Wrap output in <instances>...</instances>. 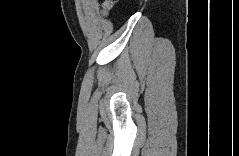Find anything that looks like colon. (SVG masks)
I'll list each match as a JSON object with an SVG mask.
<instances>
[{"mask_svg": "<svg viewBox=\"0 0 239 156\" xmlns=\"http://www.w3.org/2000/svg\"><path fill=\"white\" fill-rule=\"evenodd\" d=\"M110 7H111V2L110 1L106 2L104 5V9L107 11L110 9Z\"/></svg>", "mask_w": 239, "mask_h": 156, "instance_id": "5ec220e1", "label": "colon"}]
</instances>
